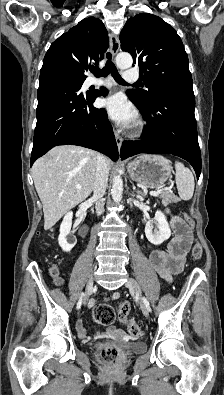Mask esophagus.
Masks as SVG:
<instances>
[{"mask_svg":"<svg viewBox=\"0 0 224 395\" xmlns=\"http://www.w3.org/2000/svg\"><path fill=\"white\" fill-rule=\"evenodd\" d=\"M119 49H120V40H119L118 35L114 34V33L110 34V52L113 57L116 56ZM114 134H115V140H116L118 149L120 150L121 146H122V142H123L122 137L116 130H114Z\"/></svg>","mask_w":224,"mask_h":395,"instance_id":"34e87169","label":"esophagus"}]
</instances>
